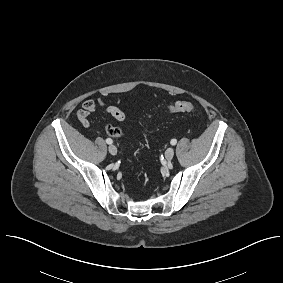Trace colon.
Listing matches in <instances>:
<instances>
[{"label":"colon","instance_id":"5ec220e1","mask_svg":"<svg viewBox=\"0 0 283 283\" xmlns=\"http://www.w3.org/2000/svg\"><path fill=\"white\" fill-rule=\"evenodd\" d=\"M195 106L186 101H179L176 102L166 108V112L169 114H178V113H192L195 111ZM106 131L111 136H117L118 135V129L116 127H113L111 125H108L106 127Z\"/></svg>","mask_w":283,"mask_h":283}]
</instances>
